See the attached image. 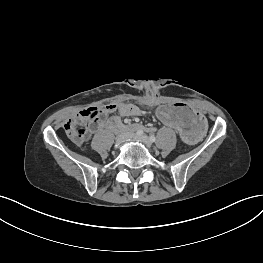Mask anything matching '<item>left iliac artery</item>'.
Here are the masks:
<instances>
[{
    "label": "left iliac artery",
    "instance_id": "left-iliac-artery-1",
    "mask_svg": "<svg viewBox=\"0 0 263 263\" xmlns=\"http://www.w3.org/2000/svg\"><path fill=\"white\" fill-rule=\"evenodd\" d=\"M149 139H150L151 142H155L156 137H155L154 135H151V136L149 137Z\"/></svg>",
    "mask_w": 263,
    "mask_h": 263
}]
</instances>
